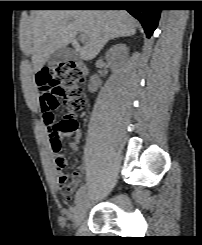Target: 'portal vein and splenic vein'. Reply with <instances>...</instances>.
Returning a JSON list of instances; mask_svg holds the SVG:
<instances>
[{
    "mask_svg": "<svg viewBox=\"0 0 202 245\" xmlns=\"http://www.w3.org/2000/svg\"><path fill=\"white\" fill-rule=\"evenodd\" d=\"M79 39L81 42H86V35L84 33H81L80 36H79Z\"/></svg>",
    "mask_w": 202,
    "mask_h": 245,
    "instance_id": "1",
    "label": "portal vein and splenic vein"
}]
</instances>
